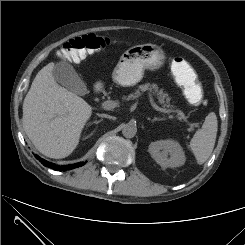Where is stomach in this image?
<instances>
[{
  "instance_id": "0dacf381",
  "label": "stomach",
  "mask_w": 245,
  "mask_h": 245,
  "mask_svg": "<svg viewBox=\"0 0 245 245\" xmlns=\"http://www.w3.org/2000/svg\"><path fill=\"white\" fill-rule=\"evenodd\" d=\"M161 47L147 43L126 50L113 70V80L121 86H133L143 78L145 70H158L165 62Z\"/></svg>"
}]
</instances>
